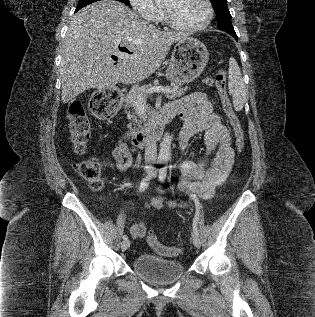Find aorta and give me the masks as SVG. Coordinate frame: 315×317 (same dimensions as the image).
Listing matches in <instances>:
<instances>
[{
    "label": "aorta",
    "mask_w": 315,
    "mask_h": 317,
    "mask_svg": "<svg viewBox=\"0 0 315 317\" xmlns=\"http://www.w3.org/2000/svg\"><path fill=\"white\" fill-rule=\"evenodd\" d=\"M159 1V0H155ZM171 136L169 133H165L162 142L160 144L159 160L168 161L170 157Z\"/></svg>",
    "instance_id": "1"
}]
</instances>
